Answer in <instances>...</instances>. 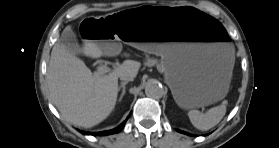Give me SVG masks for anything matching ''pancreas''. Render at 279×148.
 <instances>
[{
  "label": "pancreas",
  "mask_w": 279,
  "mask_h": 148,
  "mask_svg": "<svg viewBox=\"0 0 279 148\" xmlns=\"http://www.w3.org/2000/svg\"><path fill=\"white\" fill-rule=\"evenodd\" d=\"M146 65L147 66L156 65L159 70H163L162 65L158 64V61L156 59H148L147 62H146Z\"/></svg>",
  "instance_id": "pancreas-1"
}]
</instances>
